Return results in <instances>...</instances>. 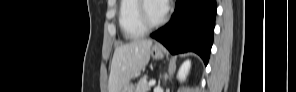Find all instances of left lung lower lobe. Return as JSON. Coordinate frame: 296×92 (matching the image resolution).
<instances>
[{
	"label": "left lung lower lobe",
	"mask_w": 296,
	"mask_h": 92,
	"mask_svg": "<svg viewBox=\"0 0 296 92\" xmlns=\"http://www.w3.org/2000/svg\"><path fill=\"white\" fill-rule=\"evenodd\" d=\"M216 8V0H177L171 21L151 36L172 54L193 51L207 65Z\"/></svg>",
	"instance_id": "left-lung-lower-lobe-1"
}]
</instances>
